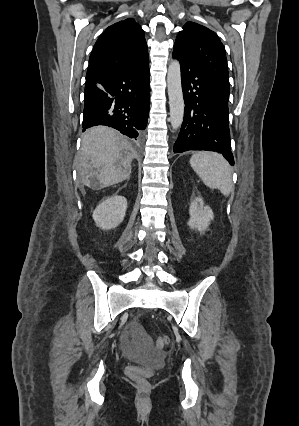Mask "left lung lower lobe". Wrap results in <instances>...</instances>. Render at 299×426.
I'll list each match as a JSON object with an SVG mask.
<instances>
[{
  "label": "left lung lower lobe",
  "mask_w": 299,
  "mask_h": 426,
  "mask_svg": "<svg viewBox=\"0 0 299 426\" xmlns=\"http://www.w3.org/2000/svg\"><path fill=\"white\" fill-rule=\"evenodd\" d=\"M180 61L185 101L184 121L174 145V153L209 150L222 153L234 165L228 125L229 90L206 71L192 65L173 51Z\"/></svg>",
  "instance_id": "1"
}]
</instances>
